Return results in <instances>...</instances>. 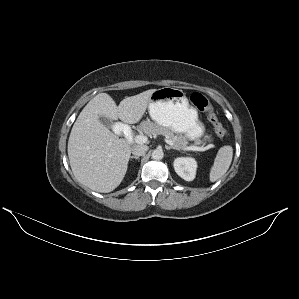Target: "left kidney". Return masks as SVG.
<instances>
[{"instance_id":"left-kidney-1","label":"left kidney","mask_w":299,"mask_h":299,"mask_svg":"<svg viewBox=\"0 0 299 299\" xmlns=\"http://www.w3.org/2000/svg\"><path fill=\"white\" fill-rule=\"evenodd\" d=\"M175 172L185 181H192L196 175L197 162L191 157H178L174 160Z\"/></svg>"}]
</instances>
